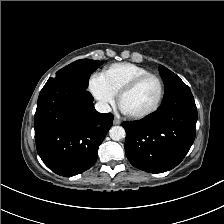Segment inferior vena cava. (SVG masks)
<instances>
[{
    "mask_svg": "<svg viewBox=\"0 0 224 224\" xmlns=\"http://www.w3.org/2000/svg\"><path fill=\"white\" fill-rule=\"evenodd\" d=\"M95 109L100 113H109L111 112V107L108 103L99 101L95 104Z\"/></svg>",
    "mask_w": 224,
    "mask_h": 224,
    "instance_id": "1",
    "label": "inferior vena cava"
}]
</instances>
